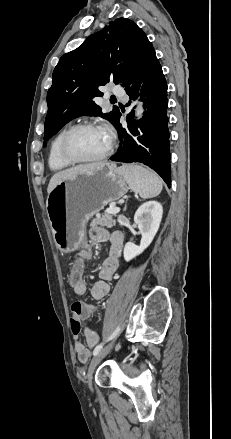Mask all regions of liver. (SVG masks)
<instances>
[{"label":"liver","instance_id":"6515ba94","mask_svg":"<svg viewBox=\"0 0 231 439\" xmlns=\"http://www.w3.org/2000/svg\"><path fill=\"white\" fill-rule=\"evenodd\" d=\"M100 164L101 163L82 164V165H78V166H75V167H72L69 169H65V170H62V171L55 173L51 177L49 184H48V187H47L48 195L55 188V186L57 184L61 183L62 181L66 180L70 177L76 176L78 174L88 172Z\"/></svg>","mask_w":231,"mask_h":439}]
</instances>
